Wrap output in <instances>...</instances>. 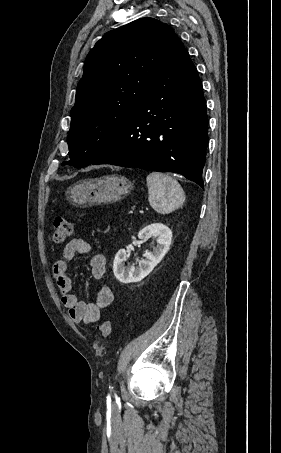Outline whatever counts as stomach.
<instances>
[{
    "mask_svg": "<svg viewBox=\"0 0 281 453\" xmlns=\"http://www.w3.org/2000/svg\"><path fill=\"white\" fill-rule=\"evenodd\" d=\"M132 182L120 174H107L100 178H85L72 184L67 192L72 204L88 206V204H108L121 200L132 190Z\"/></svg>",
    "mask_w": 281,
    "mask_h": 453,
    "instance_id": "0dacf381",
    "label": "stomach"
}]
</instances>
